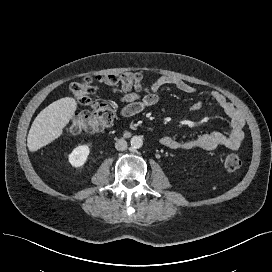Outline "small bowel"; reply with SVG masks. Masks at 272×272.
I'll return each instance as SVG.
<instances>
[{"label": "small bowel", "instance_id": "c3829d8e", "mask_svg": "<svg viewBox=\"0 0 272 272\" xmlns=\"http://www.w3.org/2000/svg\"><path fill=\"white\" fill-rule=\"evenodd\" d=\"M164 85H171L187 94H194L196 88L184 80L173 76H161L156 79L150 89L141 94L139 92H127L120 98V114L123 117H133L145 109L154 106L159 101L158 91ZM210 98L222 109L228 118V129L201 134L191 140H177L170 135H163L159 141L162 146L170 150H213L224 146L231 150H237L244 139L243 128L245 118L243 113L218 90L209 92ZM201 101L191 106V111H197L202 107Z\"/></svg>", "mask_w": 272, "mask_h": 272}]
</instances>
